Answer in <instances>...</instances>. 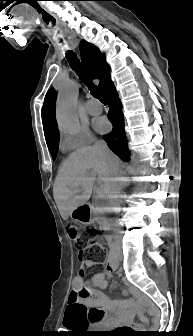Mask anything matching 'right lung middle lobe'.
I'll list each match as a JSON object with an SVG mask.
<instances>
[{
	"label": "right lung middle lobe",
	"instance_id": "dd1d6c3e",
	"mask_svg": "<svg viewBox=\"0 0 193 336\" xmlns=\"http://www.w3.org/2000/svg\"><path fill=\"white\" fill-rule=\"evenodd\" d=\"M58 143H59V136H57L54 139L47 142L49 151H50L53 159H55L57 151H58Z\"/></svg>",
	"mask_w": 193,
	"mask_h": 336
}]
</instances>
